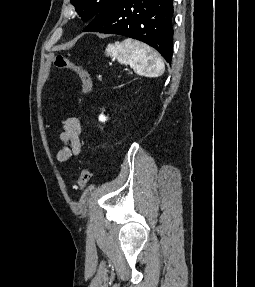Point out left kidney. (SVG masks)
I'll use <instances>...</instances> for the list:
<instances>
[{
    "label": "left kidney",
    "instance_id": "obj_1",
    "mask_svg": "<svg viewBox=\"0 0 255 287\" xmlns=\"http://www.w3.org/2000/svg\"><path fill=\"white\" fill-rule=\"evenodd\" d=\"M99 120H100V122H106L107 118H105V116H103V114H101V116H99Z\"/></svg>",
    "mask_w": 255,
    "mask_h": 287
}]
</instances>
